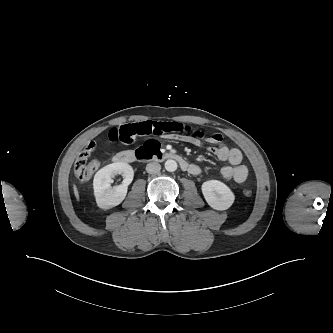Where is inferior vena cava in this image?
Returning <instances> with one entry per match:
<instances>
[{"instance_id": "602c4592", "label": "inferior vena cava", "mask_w": 333, "mask_h": 333, "mask_svg": "<svg viewBox=\"0 0 333 333\" xmlns=\"http://www.w3.org/2000/svg\"><path fill=\"white\" fill-rule=\"evenodd\" d=\"M160 170H161V165L159 163H157V162L149 163L146 166V171L149 174H157V173L160 172Z\"/></svg>"}]
</instances>
